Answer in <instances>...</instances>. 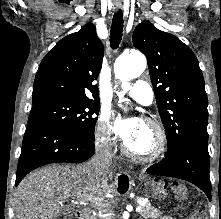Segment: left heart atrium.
Listing matches in <instances>:
<instances>
[{
  "label": "left heart atrium",
  "instance_id": "left-heart-atrium-1",
  "mask_svg": "<svg viewBox=\"0 0 221 219\" xmlns=\"http://www.w3.org/2000/svg\"><path fill=\"white\" fill-rule=\"evenodd\" d=\"M140 126V121L137 118L117 117L114 124V133L123 141H127L134 135Z\"/></svg>",
  "mask_w": 221,
  "mask_h": 219
}]
</instances>
